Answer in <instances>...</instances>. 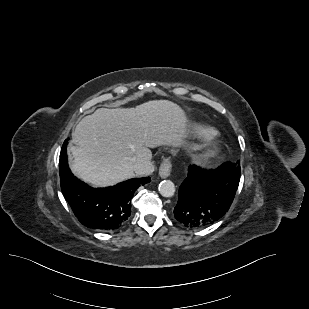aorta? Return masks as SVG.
Instances as JSON below:
<instances>
[{
  "label": "aorta",
  "instance_id": "762f6f07",
  "mask_svg": "<svg viewBox=\"0 0 309 309\" xmlns=\"http://www.w3.org/2000/svg\"><path fill=\"white\" fill-rule=\"evenodd\" d=\"M159 193L166 198L172 197L175 193V185L170 180H163L159 184Z\"/></svg>",
  "mask_w": 309,
  "mask_h": 309
}]
</instances>
